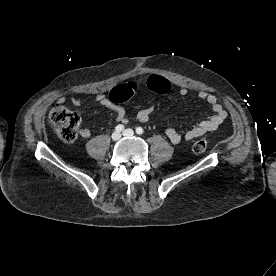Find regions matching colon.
<instances>
[{"mask_svg":"<svg viewBox=\"0 0 276 276\" xmlns=\"http://www.w3.org/2000/svg\"><path fill=\"white\" fill-rule=\"evenodd\" d=\"M160 82L166 84L169 87V83L160 79ZM150 88H156L157 83L155 80H151L148 83ZM159 93V92H158ZM110 95L113 98H130L129 91L122 88H114ZM49 122L55 128L60 139L65 143H73L78 136L79 125H80V116L76 112H72L67 109L65 106L57 104L53 106L49 112ZM208 143L205 139H200L194 142L192 150L195 153H202L207 149Z\"/></svg>","mask_w":276,"mask_h":276,"instance_id":"5ec220e1","label":"colon"}]
</instances>
